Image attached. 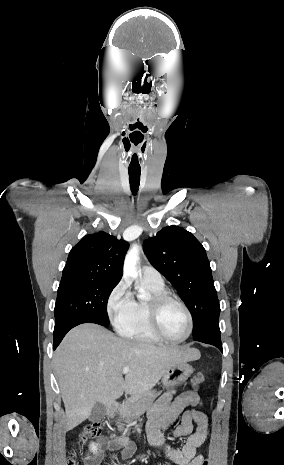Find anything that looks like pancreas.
Listing matches in <instances>:
<instances>
[{"label": "pancreas", "mask_w": 284, "mask_h": 465, "mask_svg": "<svg viewBox=\"0 0 284 465\" xmlns=\"http://www.w3.org/2000/svg\"><path fill=\"white\" fill-rule=\"evenodd\" d=\"M158 395L160 393H156V391H142V393H135L129 399H125L117 413L119 415L116 421L118 431H122L123 433L125 427H130L134 419H137L145 411H148ZM124 423H127V425H124ZM127 435H129V429Z\"/></svg>", "instance_id": "obj_1"}]
</instances>
